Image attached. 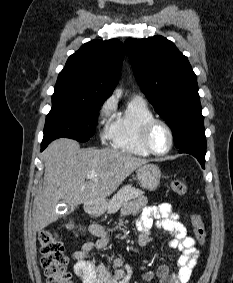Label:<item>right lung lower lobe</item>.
<instances>
[{"label":"right lung lower lobe","instance_id":"right-lung-lower-lobe-1","mask_svg":"<svg viewBox=\"0 0 233 283\" xmlns=\"http://www.w3.org/2000/svg\"><path fill=\"white\" fill-rule=\"evenodd\" d=\"M48 146V143H43L41 144V151L44 150Z\"/></svg>","mask_w":233,"mask_h":283}]
</instances>
